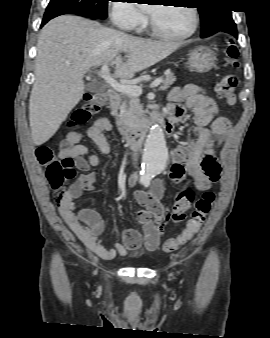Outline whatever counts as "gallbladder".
Instances as JSON below:
<instances>
[{"label":"gallbladder","mask_w":270,"mask_h":338,"mask_svg":"<svg viewBox=\"0 0 270 338\" xmlns=\"http://www.w3.org/2000/svg\"><path fill=\"white\" fill-rule=\"evenodd\" d=\"M87 90L93 93H97L104 91V87L99 83L92 82L87 84Z\"/></svg>","instance_id":"1"}]
</instances>
